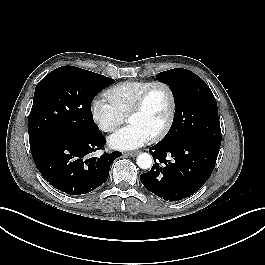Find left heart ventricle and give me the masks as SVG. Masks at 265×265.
<instances>
[{
	"instance_id": "b2bd125f",
	"label": "left heart ventricle",
	"mask_w": 265,
	"mask_h": 265,
	"mask_svg": "<svg viewBox=\"0 0 265 265\" xmlns=\"http://www.w3.org/2000/svg\"><path fill=\"white\" fill-rule=\"evenodd\" d=\"M169 97L163 88L157 87L149 94L140 112L128 122L135 124L153 136L164 124L169 112Z\"/></svg>"
}]
</instances>
